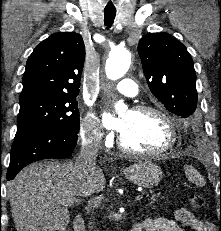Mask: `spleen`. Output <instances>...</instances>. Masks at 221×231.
Masks as SVG:
<instances>
[{"label":"spleen","instance_id":"3e777b00","mask_svg":"<svg viewBox=\"0 0 221 231\" xmlns=\"http://www.w3.org/2000/svg\"><path fill=\"white\" fill-rule=\"evenodd\" d=\"M185 174L191 182H195L197 185H203L204 181L201 178V175L194 169L192 166H185Z\"/></svg>","mask_w":221,"mask_h":231}]
</instances>
